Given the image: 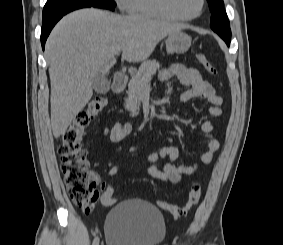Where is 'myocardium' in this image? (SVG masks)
Returning <instances> with one entry per match:
<instances>
[{"label": "myocardium", "mask_w": 283, "mask_h": 245, "mask_svg": "<svg viewBox=\"0 0 283 245\" xmlns=\"http://www.w3.org/2000/svg\"><path fill=\"white\" fill-rule=\"evenodd\" d=\"M205 3H206V0H200V7H199V10L197 11V13L192 15V16H189V17H183V16H180V15H178L174 12L172 5H171V0H158V5H159L160 9L168 17H170L172 20L183 21V22L192 21V20L198 18L204 10Z\"/></svg>", "instance_id": "1"}]
</instances>
